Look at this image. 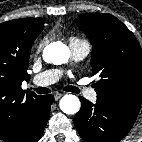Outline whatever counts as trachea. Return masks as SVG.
Here are the masks:
<instances>
[{
    "mask_svg": "<svg viewBox=\"0 0 142 142\" xmlns=\"http://www.w3.org/2000/svg\"><path fill=\"white\" fill-rule=\"evenodd\" d=\"M64 90L65 91H69V92H73V93H79L80 92V90L77 87H75V86H67V87H65ZM35 91L38 94H48V93L51 92L50 89L45 88V87H38V88L35 89Z\"/></svg>",
    "mask_w": 142,
    "mask_h": 142,
    "instance_id": "3493384b",
    "label": "trachea"
}]
</instances>
